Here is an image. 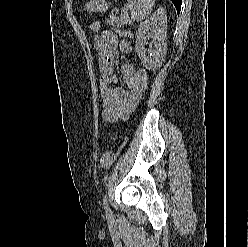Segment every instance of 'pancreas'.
<instances>
[{"mask_svg":"<svg viewBox=\"0 0 248 247\" xmlns=\"http://www.w3.org/2000/svg\"><path fill=\"white\" fill-rule=\"evenodd\" d=\"M111 25L122 27L124 24L130 23V20L126 16L114 17L110 20Z\"/></svg>","mask_w":248,"mask_h":247,"instance_id":"cf45deb5","label":"pancreas"}]
</instances>
